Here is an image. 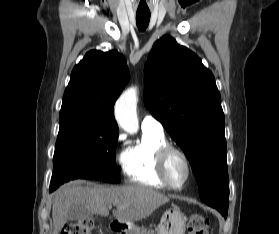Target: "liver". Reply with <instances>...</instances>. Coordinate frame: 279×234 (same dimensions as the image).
Here are the masks:
<instances>
[{"label":"liver","instance_id":"obj_1","mask_svg":"<svg viewBox=\"0 0 279 234\" xmlns=\"http://www.w3.org/2000/svg\"><path fill=\"white\" fill-rule=\"evenodd\" d=\"M169 197L143 185L106 187L82 186L79 181L64 184L54 194L52 202L53 234H59L67 222V214L73 204L82 205L90 213L109 215V208L117 207L113 216L120 223L142 220L158 207L169 202Z\"/></svg>","mask_w":279,"mask_h":234}]
</instances>
